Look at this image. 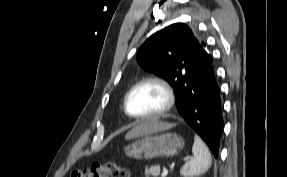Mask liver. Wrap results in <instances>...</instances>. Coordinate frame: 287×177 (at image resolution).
Wrapping results in <instances>:
<instances>
[{"instance_id":"obj_1","label":"liver","mask_w":287,"mask_h":177,"mask_svg":"<svg viewBox=\"0 0 287 177\" xmlns=\"http://www.w3.org/2000/svg\"><path fill=\"white\" fill-rule=\"evenodd\" d=\"M173 126V124L159 122L157 120L145 121L134 127L130 132H128L125 136V139L129 140L145 134L170 129Z\"/></svg>"}]
</instances>
